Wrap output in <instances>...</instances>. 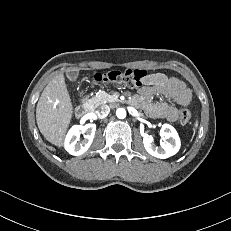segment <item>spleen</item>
I'll return each instance as SVG.
<instances>
[{
	"mask_svg": "<svg viewBox=\"0 0 231 231\" xmlns=\"http://www.w3.org/2000/svg\"><path fill=\"white\" fill-rule=\"evenodd\" d=\"M197 125H198V123L196 122L194 126L197 127Z\"/></svg>",
	"mask_w": 231,
	"mask_h": 231,
	"instance_id": "spleen-1",
	"label": "spleen"
}]
</instances>
